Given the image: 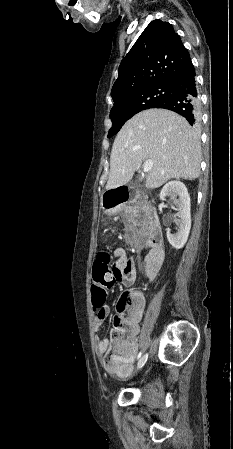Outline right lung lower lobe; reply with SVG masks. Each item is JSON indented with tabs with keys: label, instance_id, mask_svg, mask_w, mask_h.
<instances>
[{
	"label": "right lung lower lobe",
	"instance_id": "98d812e1",
	"mask_svg": "<svg viewBox=\"0 0 233 449\" xmlns=\"http://www.w3.org/2000/svg\"><path fill=\"white\" fill-rule=\"evenodd\" d=\"M171 94L155 108L172 110L185 117L190 125L199 124L200 99L195 72L170 84Z\"/></svg>",
	"mask_w": 233,
	"mask_h": 449
}]
</instances>
